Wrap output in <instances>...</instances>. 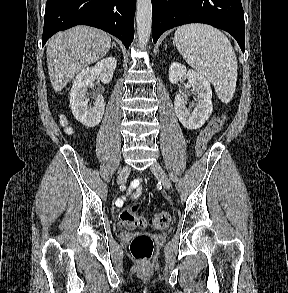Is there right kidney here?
I'll return each mask as SVG.
<instances>
[{"label": "right kidney", "mask_w": 288, "mask_h": 293, "mask_svg": "<svg viewBox=\"0 0 288 293\" xmlns=\"http://www.w3.org/2000/svg\"><path fill=\"white\" fill-rule=\"evenodd\" d=\"M117 61L108 57L97 62L93 67L83 69L74 79L70 92V106L74 117L87 127H95L102 119L105 109L103 96H97L93 106L88 107L87 88L98 77L104 84H108L116 68Z\"/></svg>", "instance_id": "obj_1"}]
</instances>
